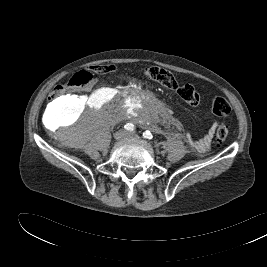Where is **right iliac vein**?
<instances>
[{"label": "right iliac vein", "mask_w": 267, "mask_h": 267, "mask_svg": "<svg viewBox=\"0 0 267 267\" xmlns=\"http://www.w3.org/2000/svg\"><path fill=\"white\" fill-rule=\"evenodd\" d=\"M126 136V133L124 131H118L115 133L114 138L116 140H120Z\"/></svg>", "instance_id": "63e3f726"}]
</instances>
